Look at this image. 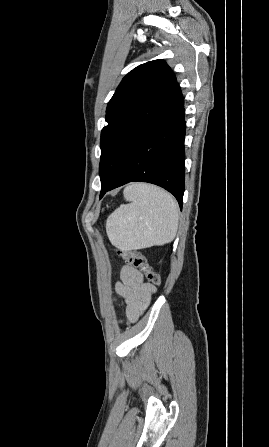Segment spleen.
<instances>
[{
	"label": "spleen",
	"mask_w": 269,
	"mask_h": 447,
	"mask_svg": "<svg viewBox=\"0 0 269 447\" xmlns=\"http://www.w3.org/2000/svg\"><path fill=\"white\" fill-rule=\"evenodd\" d=\"M122 204L106 222L107 235L118 249H142L163 245L174 239L179 222L178 204L168 192L132 182L123 190Z\"/></svg>",
	"instance_id": "3e777b00"
}]
</instances>
